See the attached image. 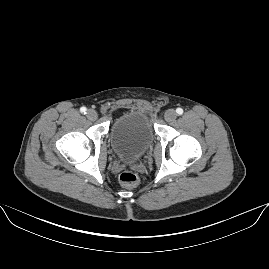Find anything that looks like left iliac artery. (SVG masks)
Listing matches in <instances>:
<instances>
[{
  "label": "left iliac artery",
  "instance_id": "44dca946",
  "mask_svg": "<svg viewBox=\"0 0 269 269\" xmlns=\"http://www.w3.org/2000/svg\"><path fill=\"white\" fill-rule=\"evenodd\" d=\"M176 113H177V115H181L183 113V109L182 108H177Z\"/></svg>",
  "mask_w": 269,
  "mask_h": 269
}]
</instances>
